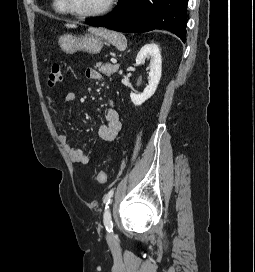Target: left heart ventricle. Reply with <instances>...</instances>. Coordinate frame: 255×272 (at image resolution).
Wrapping results in <instances>:
<instances>
[{
    "instance_id": "obj_1",
    "label": "left heart ventricle",
    "mask_w": 255,
    "mask_h": 272,
    "mask_svg": "<svg viewBox=\"0 0 255 272\" xmlns=\"http://www.w3.org/2000/svg\"><path fill=\"white\" fill-rule=\"evenodd\" d=\"M107 0H70L72 8L81 13L93 12L104 6Z\"/></svg>"
}]
</instances>
